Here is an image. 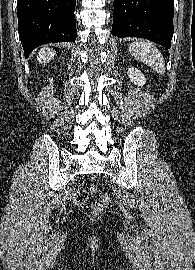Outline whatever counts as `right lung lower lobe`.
<instances>
[{"instance_id": "obj_1", "label": "right lung lower lobe", "mask_w": 195, "mask_h": 270, "mask_svg": "<svg viewBox=\"0 0 195 270\" xmlns=\"http://www.w3.org/2000/svg\"><path fill=\"white\" fill-rule=\"evenodd\" d=\"M76 0H18V32L27 57L51 42H74Z\"/></svg>"}]
</instances>
